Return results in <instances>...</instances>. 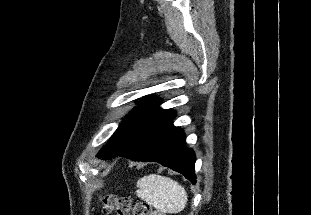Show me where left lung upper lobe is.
<instances>
[{
    "instance_id": "left-lung-upper-lobe-1",
    "label": "left lung upper lobe",
    "mask_w": 311,
    "mask_h": 215,
    "mask_svg": "<svg viewBox=\"0 0 311 215\" xmlns=\"http://www.w3.org/2000/svg\"><path fill=\"white\" fill-rule=\"evenodd\" d=\"M129 113L109 139L107 145L98 153L99 158L110 159L124 150L136 138L147 122L162 109L155 96L144 99Z\"/></svg>"
}]
</instances>
